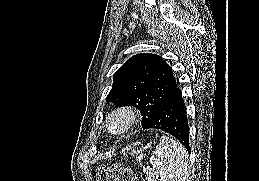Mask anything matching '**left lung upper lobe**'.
Wrapping results in <instances>:
<instances>
[{"label": "left lung upper lobe", "mask_w": 259, "mask_h": 181, "mask_svg": "<svg viewBox=\"0 0 259 181\" xmlns=\"http://www.w3.org/2000/svg\"><path fill=\"white\" fill-rule=\"evenodd\" d=\"M175 87L172 68L156 54L141 53L132 56L115 72L106 101L139 109L143 116L142 128H145Z\"/></svg>", "instance_id": "5c2ea615"}]
</instances>
